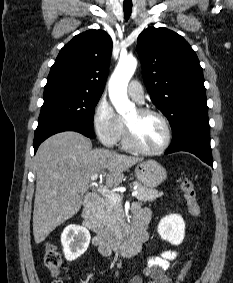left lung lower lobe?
<instances>
[{"label":"left lung lower lobe","instance_id":"0a47b994","mask_svg":"<svg viewBox=\"0 0 233 283\" xmlns=\"http://www.w3.org/2000/svg\"><path fill=\"white\" fill-rule=\"evenodd\" d=\"M176 151L190 152L213 167L209 125L195 124L173 137V141L165 153Z\"/></svg>","mask_w":233,"mask_h":283}]
</instances>
